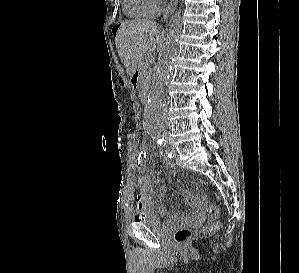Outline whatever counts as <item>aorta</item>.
<instances>
[{"instance_id": "1", "label": "aorta", "mask_w": 299, "mask_h": 273, "mask_svg": "<svg viewBox=\"0 0 299 273\" xmlns=\"http://www.w3.org/2000/svg\"><path fill=\"white\" fill-rule=\"evenodd\" d=\"M180 32L181 16L177 12L167 27L144 111V129L157 141H164L168 135L169 120L165 109V89L173 59L178 51Z\"/></svg>"}]
</instances>
